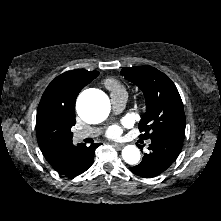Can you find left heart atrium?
Segmentation results:
<instances>
[{"instance_id":"1","label":"left heart atrium","mask_w":221,"mask_h":221,"mask_svg":"<svg viewBox=\"0 0 221 221\" xmlns=\"http://www.w3.org/2000/svg\"><path fill=\"white\" fill-rule=\"evenodd\" d=\"M126 126V123H123L122 125H113L108 130V136L111 138H118L121 136L123 127Z\"/></svg>"}]
</instances>
